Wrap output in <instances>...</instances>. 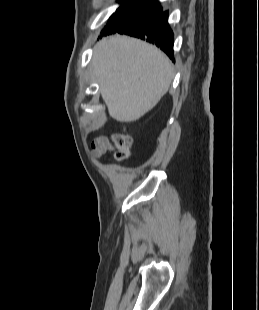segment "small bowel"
Masks as SVG:
<instances>
[{"label":"small bowel","instance_id":"obj_1","mask_svg":"<svg viewBox=\"0 0 259 310\" xmlns=\"http://www.w3.org/2000/svg\"><path fill=\"white\" fill-rule=\"evenodd\" d=\"M112 149L111 145L104 137H97L92 143L91 154L95 159L101 158L106 152Z\"/></svg>","mask_w":259,"mask_h":310}]
</instances>
